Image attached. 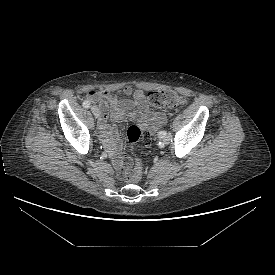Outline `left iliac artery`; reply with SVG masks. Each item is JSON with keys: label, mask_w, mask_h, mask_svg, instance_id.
Returning a JSON list of instances; mask_svg holds the SVG:
<instances>
[{"label": "left iliac artery", "mask_w": 275, "mask_h": 275, "mask_svg": "<svg viewBox=\"0 0 275 275\" xmlns=\"http://www.w3.org/2000/svg\"><path fill=\"white\" fill-rule=\"evenodd\" d=\"M166 134H167L166 131H159V132H158V137H159V138H163Z\"/></svg>", "instance_id": "obj_1"}]
</instances>
